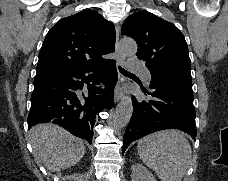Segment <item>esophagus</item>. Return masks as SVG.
<instances>
[{"label":"esophagus","mask_w":228,"mask_h":181,"mask_svg":"<svg viewBox=\"0 0 228 181\" xmlns=\"http://www.w3.org/2000/svg\"><path fill=\"white\" fill-rule=\"evenodd\" d=\"M118 44H119V27L116 28L115 48H116V52L118 53L117 62H118V64L122 65L124 63L125 57L120 54ZM124 83H125V77L121 73H119L118 74V82H117L115 92H114L115 103H118V101H120L121 98L123 97L122 86L124 85Z\"/></svg>","instance_id":"34e87169"}]
</instances>
